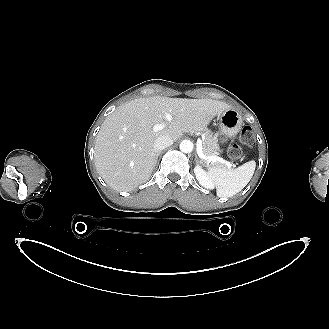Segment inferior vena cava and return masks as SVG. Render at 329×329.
I'll use <instances>...</instances> for the list:
<instances>
[{
  "instance_id": "inferior-vena-cava-1",
  "label": "inferior vena cava",
  "mask_w": 329,
  "mask_h": 329,
  "mask_svg": "<svg viewBox=\"0 0 329 329\" xmlns=\"http://www.w3.org/2000/svg\"><path fill=\"white\" fill-rule=\"evenodd\" d=\"M173 144V139L168 136H160L154 142L155 151H161Z\"/></svg>"
}]
</instances>
